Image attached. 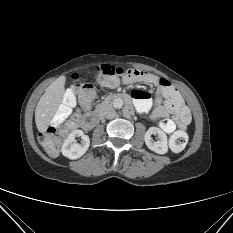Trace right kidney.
I'll return each mask as SVG.
<instances>
[{
    "mask_svg": "<svg viewBox=\"0 0 233 233\" xmlns=\"http://www.w3.org/2000/svg\"><path fill=\"white\" fill-rule=\"evenodd\" d=\"M81 137V143H76L75 138ZM90 146V139L82 130H74L64 140L61 148L62 154L69 159H78L83 156Z\"/></svg>",
    "mask_w": 233,
    "mask_h": 233,
    "instance_id": "ca27d5eb",
    "label": "right kidney"
}]
</instances>
